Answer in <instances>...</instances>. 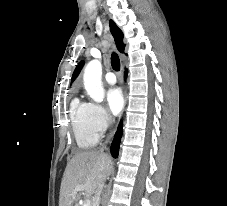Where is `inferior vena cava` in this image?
<instances>
[{
    "mask_svg": "<svg viewBox=\"0 0 227 206\" xmlns=\"http://www.w3.org/2000/svg\"><path fill=\"white\" fill-rule=\"evenodd\" d=\"M103 148L100 150L101 152H103ZM103 186H104V183H103V181L99 184V186H98V189H97V191H96V194H95V197H94V201H95V203H96V206H99L98 204H99V201H100V194H101V192H102V189H103Z\"/></svg>",
    "mask_w": 227,
    "mask_h": 206,
    "instance_id": "1",
    "label": "inferior vena cava"
}]
</instances>
